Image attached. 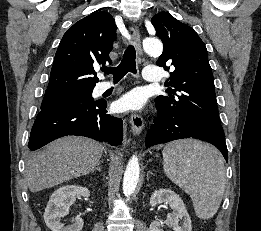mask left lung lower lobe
<instances>
[{"instance_id":"left-lung-lower-lobe-1","label":"left lung lower lobe","mask_w":261,"mask_h":231,"mask_svg":"<svg viewBox=\"0 0 261 231\" xmlns=\"http://www.w3.org/2000/svg\"><path fill=\"white\" fill-rule=\"evenodd\" d=\"M156 107L158 115L146 135V147L177 139L196 138L216 146L226 161L228 160L225 136L218 134L209 127L194 122L180 112H169L158 106Z\"/></svg>"}]
</instances>
